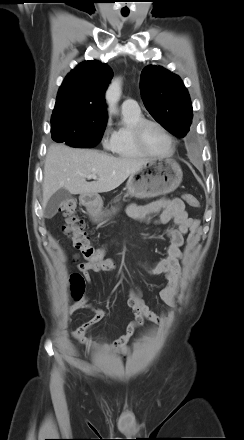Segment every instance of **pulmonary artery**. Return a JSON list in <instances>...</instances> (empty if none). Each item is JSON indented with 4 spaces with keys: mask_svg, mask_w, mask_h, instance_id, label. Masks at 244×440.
<instances>
[{
    "mask_svg": "<svg viewBox=\"0 0 244 440\" xmlns=\"http://www.w3.org/2000/svg\"><path fill=\"white\" fill-rule=\"evenodd\" d=\"M121 109L125 112H138L140 110L138 103L130 98L123 101Z\"/></svg>",
    "mask_w": 244,
    "mask_h": 440,
    "instance_id": "pulmonary-artery-1",
    "label": "pulmonary artery"
}]
</instances>
